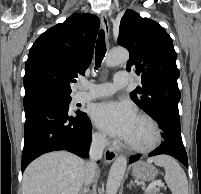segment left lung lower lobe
<instances>
[{
	"mask_svg": "<svg viewBox=\"0 0 201 194\" xmlns=\"http://www.w3.org/2000/svg\"><path fill=\"white\" fill-rule=\"evenodd\" d=\"M153 117L157 120L159 128L162 129L164 142L163 144L149 156L166 154L173 156L188 168L187 154L182 142L180 131L179 112L172 108H160ZM140 157H131L129 163L137 161Z\"/></svg>",
	"mask_w": 201,
	"mask_h": 194,
	"instance_id": "0a47b994",
	"label": "left lung lower lobe"
}]
</instances>
